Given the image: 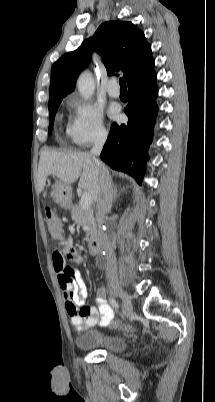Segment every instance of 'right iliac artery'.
<instances>
[{
	"instance_id": "right-iliac-artery-1",
	"label": "right iliac artery",
	"mask_w": 215,
	"mask_h": 402,
	"mask_svg": "<svg viewBox=\"0 0 215 402\" xmlns=\"http://www.w3.org/2000/svg\"><path fill=\"white\" fill-rule=\"evenodd\" d=\"M110 303L114 308H116V309L119 308V304L114 298H110Z\"/></svg>"
}]
</instances>
